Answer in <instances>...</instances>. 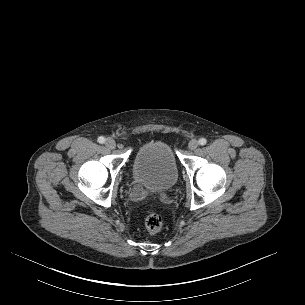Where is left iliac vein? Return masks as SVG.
I'll return each mask as SVG.
<instances>
[{
  "instance_id": "left-iliac-vein-1",
  "label": "left iliac vein",
  "mask_w": 305,
  "mask_h": 305,
  "mask_svg": "<svg viewBox=\"0 0 305 305\" xmlns=\"http://www.w3.org/2000/svg\"><path fill=\"white\" fill-rule=\"evenodd\" d=\"M199 145V142L196 139H192L190 140V142L188 143V148L190 150H195Z\"/></svg>"
}]
</instances>
